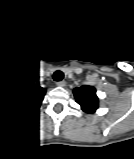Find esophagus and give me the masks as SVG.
I'll list each match as a JSON object with an SVG mask.
<instances>
[{"label":"esophagus","mask_w":134,"mask_h":159,"mask_svg":"<svg viewBox=\"0 0 134 159\" xmlns=\"http://www.w3.org/2000/svg\"><path fill=\"white\" fill-rule=\"evenodd\" d=\"M58 85L64 86V85H65V81H59V82H58Z\"/></svg>","instance_id":"obj_1"}]
</instances>
